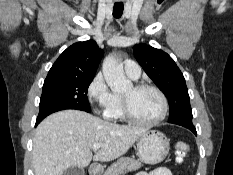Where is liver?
<instances>
[{"mask_svg": "<svg viewBox=\"0 0 233 175\" xmlns=\"http://www.w3.org/2000/svg\"><path fill=\"white\" fill-rule=\"evenodd\" d=\"M147 128L121 126L78 110H63L45 118L36 128L33 144L35 175H63L91 160L109 162L123 154ZM94 144L101 147L92 155Z\"/></svg>", "mask_w": 233, "mask_h": 175, "instance_id": "1", "label": "liver"}]
</instances>
